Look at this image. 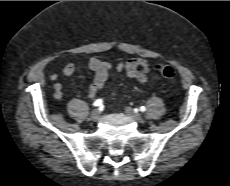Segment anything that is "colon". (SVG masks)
Instances as JSON below:
<instances>
[{
  "mask_svg": "<svg viewBox=\"0 0 230 186\" xmlns=\"http://www.w3.org/2000/svg\"><path fill=\"white\" fill-rule=\"evenodd\" d=\"M154 70L164 78L173 79L175 77V71L171 66L158 64L154 66Z\"/></svg>",
  "mask_w": 230,
  "mask_h": 186,
  "instance_id": "1",
  "label": "colon"
}]
</instances>
